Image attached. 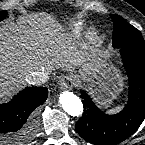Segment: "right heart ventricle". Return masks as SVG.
Returning a JSON list of instances; mask_svg holds the SVG:
<instances>
[{"instance_id": "right-heart-ventricle-1", "label": "right heart ventricle", "mask_w": 145, "mask_h": 145, "mask_svg": "<svg viewBox=\"0 0 145 145\" xmlns=\"http://www.w3.org/2000/svg\"><path fill=\"white\" fill-rule=\"evenodd\" d=\"M77 27H78V25H74V26H73V28H77Z\"/></svg>"}]
</instances>
